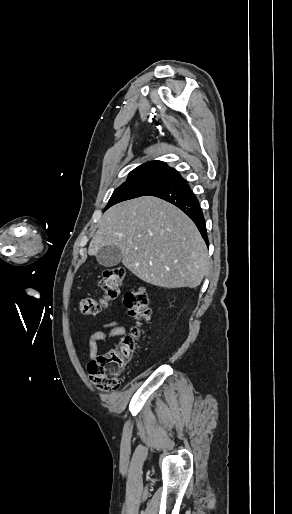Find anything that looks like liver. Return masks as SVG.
I'll use <instances>...</instances> for the list:
<instances>
[{
	"mask_svg": "<svg viewBox=\"0 0 292 514\" xmlns=\"http://www.w3.org/2000/svg\"><path fill=\"white\" fill-rule=\"evenodd\" d=\"M111 244L120 248L125 268L161 288H197L211 268L194 222L153 196L121 202L103 214L88 254Z\"/></svg>",
	"mask_w": 292,
	"mask_h": 514,
	"instance_id": "6515ba94",
	"label": "liver"
}]
</instances>
